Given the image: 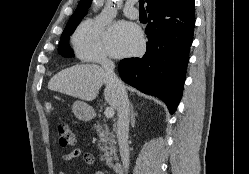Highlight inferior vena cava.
I'll list each match as a JSON object with an SVG mask.
<instances>
[{
    "mask_svg": "<svg viewBox=\"0 0 249 174\" xmlns=\"http://www.w3.org/2000/svg\"><path fill=\"white\" fill-rule=\"evenodd\" d=\"M101 66L108 74L111 83L116 89L117 94V138L119 143L120 156L123 163L125 172L128 171L129 167V146H128V135H129V100L122 82L118 79L114 73L115 65L110 59L103 58Z\"/></svg>",
    "mask_w": 249,
    "mask_h": 174,
    "instance_id": "obj_1",
    "label": "inferior vena cava"
}]
</instances>
